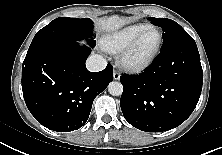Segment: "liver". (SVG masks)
Instances as JSON below:
<instances>
[{
  "mask_svg": "<svg viewBox=\"0 0 222 155\" xmlns=\"http://www.w3.org/2000/svg\"><path fill=\"white\" fill-rule=\"evenodd\" d=\"M130 20L131 19L127 17L113 15L106 18H99L95 21V23L100 30L109 32L121 28L122 26L130 22Z\"/></svg>",
  "mask_w": 222,
  "mask_h": 155,
  "instance_id": "6515ba94",
  "label": "liver"
}]
</instances>
